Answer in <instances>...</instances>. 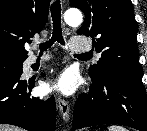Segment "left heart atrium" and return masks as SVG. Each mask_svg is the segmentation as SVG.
<instances>
[{
    "mask_svg": "<svg viewBox=\"0 0 147 131\" xmlns=\"http://www.w3.org/2000/svg\"><path fill=\"white\" fill-rule=\"evenodd\" d=\"M78 86V77L75 72L66 70L57 78L47 84L50 92H56L63 95H71Z\"/></svg>",
    "mask_w": 147,
    "mask_h": 131,
    "instance_id": "obj_1",
    "label": "left heart atrium"
}]
</instances>
